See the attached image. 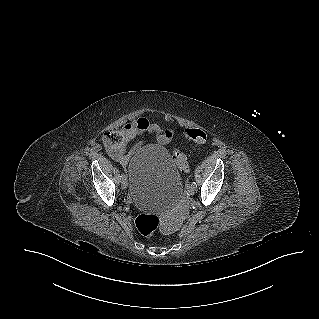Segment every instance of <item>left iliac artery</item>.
Instances as JSON below:
<instances>
[{
    "label": "left iliac artery",
    "mask_w": 319,
    "mask_h": 319,
    "mask_svg": "<svg viewBox=\"0 0 319 319\" xmlns=\"http://www.w3.org/2000/svg\"><path fill=\"white\" fill-rule=\"evenodd\" d=\"M190 185L194 186L195 188L197 187L195 182H192L191 184H187V187H189Z\"/></svg>",
    "instance_id": "44dca946"
}]
</instances>
